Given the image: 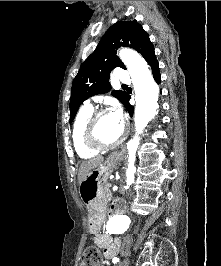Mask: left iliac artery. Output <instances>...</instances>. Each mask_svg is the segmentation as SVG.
Wrapping results in <instances>:
<instances>
[{"label": "left iliac artery", "mask_w": 221, "mask_h": 266, "mask_svg": "<svg viewBox=\"0 0 221 266\" xmlns=\"http://www.w3.org/2000/svg\"><path fill=\"white\" fill-rule=\"evenodd\" d=\"M117 262H119V258H118V257H114V258H113V263L115 264V263H117Z\"/></svg>", "instance_id": "1"}]
</instances>
